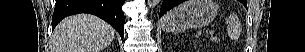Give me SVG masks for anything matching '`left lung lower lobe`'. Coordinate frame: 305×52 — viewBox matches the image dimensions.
I'll return each mask as SVG.
<instances>
[{
	"label": "left lung lower lobe",
	"mask_w": 305,
	"mask_h": 52,
	"mask_svg": "<svg viewBox=\"0 0 305 52\" xmlns=\"http://www.w3.org/2000/svg\"><path fill=\"white\" fill-rule=\"evenodd\" d=\"M183 0H164L160 9V17L167 12L168 10L172 9L176 5L182 3Z\"/></svg>",
	"instance_id": "1"
}]
</instances>
